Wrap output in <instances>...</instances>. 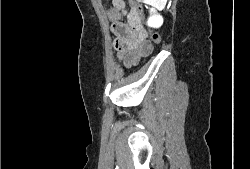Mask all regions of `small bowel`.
Here are the masks:
<instances>
[{
	"label": "small bowel",
	"instance_id": "small-bowel-1",
	"mask_svg": "<svg viewBox=\"0 0 250 169\" xmlns=\"http://www.w3.org/2000/svg\"><path fill=\"white\" fill-rule=\"evenodd\" d=\"M121 11L116 6L110 11L109 16L113 22H118L121 18ZM118 33V32H117ZM119 38L115 42L118 50V57L125 66L135 65L143 56L151 51V46L146 41H141L139 35L134 30L127 29L126 33H118Z\"/></svg>",
	"mask_w": 250,
	"mask_h": 169
}]
</instances>
